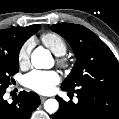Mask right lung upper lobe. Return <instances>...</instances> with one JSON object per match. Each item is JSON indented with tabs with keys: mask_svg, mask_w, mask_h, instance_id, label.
<instances>
[{
	"mask_svg": "<svg viewBox=\"0 0 119 119\" xmlns=\"http://www.w3.org/2000/svg\"><path fill=\"white\" fill-rule=\"evenodd\" d=\"M39 29L40 24L0 30V47L20 50L24 42Z\"/></svg>",
	"mask_w": 119,
	"mask_h": 119,
	"instance_id": "cb5924a9",
	"label": "right lung upper lobe"
}]
</instances>
